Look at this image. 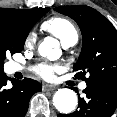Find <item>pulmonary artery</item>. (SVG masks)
I'll return each mask as SVG.
<instances>
[{
  "instance_id": "obj_1",
  "label": "pulmonary artery",
  "mask_w": 117,
  "mask_h": 117,
  "mask_svg": "<svg viewBox=\"0 0 117 117\" xmlns=\"http://www.w3.org/2000/svg\"><path fill=\"white\" fill-rule=\"evenodd\" d=\"M75 43L76 42H71V43H68V44H65L64 45V47H66V48H68V47H71V46H73V45H75ZM11 70L13 71V72H17V71H20L21 70V67L18 65V64H16V63H13L12 65H11ZM80 89H85L86 87H87V84H86V82H82L81 84H80Z\"/></svg>"
}]
</instances>
